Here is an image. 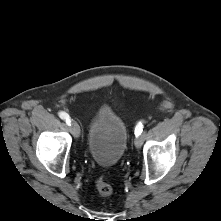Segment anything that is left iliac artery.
<instances>
[{"label":"left iliac artery","mask_w":221,"mask_h":221,"mask_svg":"<svg viewBox=\"0 0 221 221\" xmlns=\"http://www.w3.org/2000/svg\"><path fill=\"white\" fill-rule=\"evenodd\" d=\"M143 131V124L139 122L135 127V135L136 137L139 136Z\"/></svg>","instance_id":"1"}]
</instances>
